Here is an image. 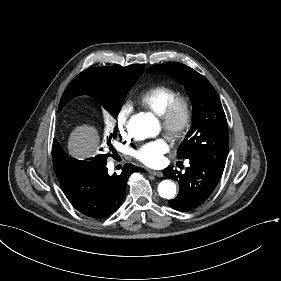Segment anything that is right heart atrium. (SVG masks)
<instances>
[{"instance_id":"right-heart-atrium-1","label":"right heart atrium","mask_w":281,"mask_h":281,"mask_svg":"<svg viewBox=\"0 0 281 281\" xmlns=\"http://www.w3.org/2000/svg\"><path fill=\"white\" fill-rule=\"evenodd\" d=\"M132 105L129 103H124L120 106L116 117H115V124L119 132L127 137L139 140L141 139V134L143 132L142 128L138 125H134L129 120V117L132 112ZM132 120V119H131Z\"/></svg>"}]
</instances>
